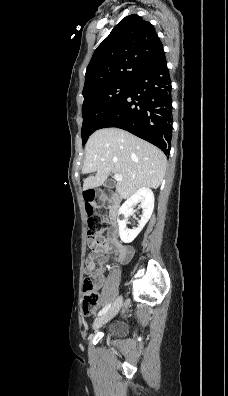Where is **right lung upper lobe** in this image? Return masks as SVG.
<instances>
[{"instance_id": "right-lung-upper-lobe-1", "label": "right lung upper lobe", "mask_w": 228, "mask_h": 396, "mask_svg": "<svg viewBox=\"0 0 228 396\" xmlns=\"http://www.w3.org/2000/svg\"><path fill=\"white\" fill-rule=\"evenodd\" d=\"M162 47L151 23L136 14L125 17L95 50L83 94L113 83L132 82Z\"/></svg>"}]
</instances>
